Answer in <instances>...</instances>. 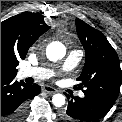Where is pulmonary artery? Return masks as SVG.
Returning <instances> with one entry per match:
<instances>
[{"label": "pulmonary artery", "mask_w": 122, "mask_h": 122, "mask_svg": "<svg viewBox=\"0 0 122 122\" xmlns=\"http://www.w3.org/2000/svg\"><path fill=\"white\" fill-rule=\"evenodd\" d=\"M83 53L81 50H72L69 52L67 58L63 63L64 70H71L75 68L80 62ZM19 75L21 78L32 77L35 79H48L53 76V71L42 67H24L20 70ZM79 96L84 97V93L80 92Z\"/></svg>", "instance_id": "obj_1"}]
</instances>
